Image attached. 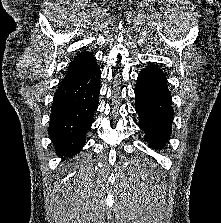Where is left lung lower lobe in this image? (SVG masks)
<instances>
[{
	"instance_id": "0a47b994",
	"label": "left lung lower lobe",
	"mask_w": 221,
	"mask_h": 223,
	"mask_svg": "<svg viewBox=\"0 0 221 223\" xmlns=\"http://www.w3.org/2000/svg\"><path fill=\"white\" fill-rule=\"evenodd\" d=\"M135 97V109L145 140L151 148L160 150L170 137L174 116L171 93L163 71L153 64L144 68L138 75Z\"/></svg>"
}]
</instances>
